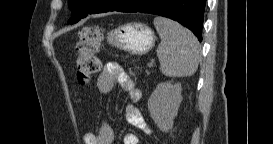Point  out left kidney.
Returning a JSON list of instances; mask_svg holds the SVG:
<instances>
[{"instance_id":"1","label":"left kidney","mask_w":273,"mask_h":144,"mask_svg":"<svg viewBox=\"0 0 273 144\" xmlns=\"http://www.w3.org/2000/svg\"><path fill=\"white\" fill-rule=\"evenodd\" d=\"M181 93V84L163 82L157 85L148 100L150 116L163 132H168L173 127L174 118L182 101Z\"/></svg>"}]
</instances>
